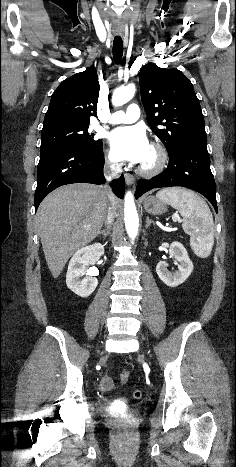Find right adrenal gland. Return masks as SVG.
<instances>
[{
  "label": "right adrenal gland",
  "mask_w": 236,
  "mask_h": 467,
  "mask_svg": "<svg viewBox=\"0 0 236 467\" xmlns=\"http://www.w3.org/2000/svg\"><path fill=\"white\" fill-rule=\"evenodd\" d=\"M109 233H110V227L108 226V227H107V230H102V231H100L98 235H102L103 238H106V237L108 236Z\"/></svg>",
  "instance_id": "2a0ac1e0"
}]
</instances>
